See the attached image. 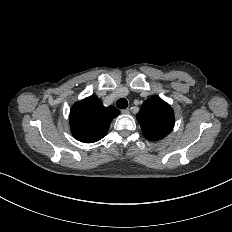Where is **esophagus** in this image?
I'll return each mask as SVG.
<instances>
[{
  "instance_id": "esophagus-1",
  "label": "esophagus",
  "mask_w": 232,
  "mask_h": 232,
  "mask_svg": "<svg viewBox=\"0 0 232 232\" xmlns=\"http://www.w3.org/2000/svg\"><path fill=\"white\" fill-rule=\"evenodd\" d=\"M121 113L123 114V115H128L129 113H130V110L127 108V109H122L121 110Z\"/></svg>"
}]
</instances>
